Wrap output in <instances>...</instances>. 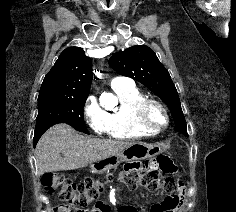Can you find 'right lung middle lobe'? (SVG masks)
<instances>
[{
	"instance_id": "obj_1",
	"label": "right lung middle lobe",
	"mask_w": 236,
	"mask_h": 212,
	"mask_svg": "<svg viewBox=\"0 0 236 212\" xmlns=\"http://www.w3.org/2000/svg\"><path fill=\"white\" fill-rule=\"evenodd\" d=\"M88 95L79 97H46L38 99L34 146L41 135L51 126L66 123L76 130L89 134L83 115V108Z\"/></svg>"
}]
</instances>
